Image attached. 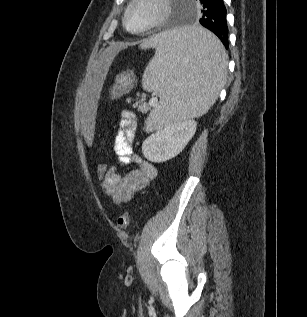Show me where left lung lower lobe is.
Returning a JSON list of instances; mask_svg holds the SVG:
<instances>
[{
    "label": "left lung lower lobe",
    "instance_id": "obj_1",
    "mask_svg": "<svg viewBox=\"0 0 307 317\" xmlns=\"http://www.w3.org/2000/svg\"><path fill=\"white\" fill-rule=\"evenodd\" d=\"M202 6V18L200 24L212 31L223 43L226 49L229 47L228 27L226 21V8L223 0H199ZM213 61L214 56L210 54Z\"/></svg>",
    "mask_w": 307,
    "mask_h": 317
}]
</instances>
